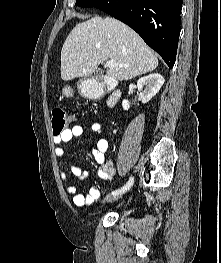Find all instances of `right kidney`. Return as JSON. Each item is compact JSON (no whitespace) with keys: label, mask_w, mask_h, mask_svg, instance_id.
<instances>
[{"label":"right kidney","mask_w":221,"mask_h":263,"mask_svg":"<svg viewBox=\"0 0 221 263\" xmlns=\"http://www.w3.org/2000/svg\"><path fill=\"white\" fill-rule=\"evenodd\" d=\"M164 84V78L158 73L149 74L140 78L137 81V88L140 91V100L142 103L149 102L160 90ZM122 107L124 110L130 108V103L127 99L122 101Z\"/></svg>","instance_id":"ca27d5eb"}]
</instances>
